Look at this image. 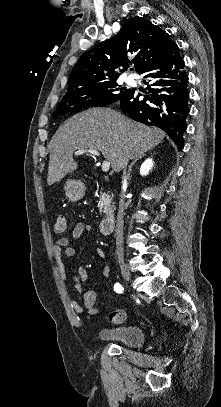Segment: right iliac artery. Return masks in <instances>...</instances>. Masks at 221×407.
Segmentation results:
<instances>
[{"label":"right iliac artery","instance_id":"82829eb1","mask_svg":"<svg viewBox=\"0 0 221 407\" xmlns=\"http://www.w3.org/2000/svg\"><path fill=\"white\" fill-rule=\"evenodd\" d=\"M123 290H124V288L122 287L121 284H119V283L114 284V291H116L117 293H122Z\"/></svg>","mask_w":221,"mask_h":407}]
</instances>
